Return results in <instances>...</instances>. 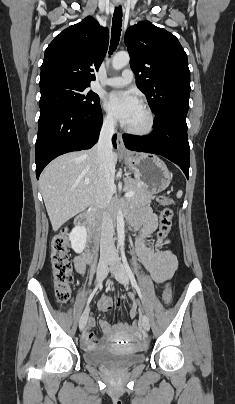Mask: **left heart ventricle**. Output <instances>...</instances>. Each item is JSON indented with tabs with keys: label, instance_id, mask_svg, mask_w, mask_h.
<instances>
[{
	"label": "left heart ventricle",
	"instance_id": "b2bd125f",
	"mask_svg": "<svg viewBox=\"0 0 235 404\" xmlns=\"http://www.w3.org/2000/svg\"><path fill=\"white\" fill-rule=\"evenodd\" d=\"M145 123V113L141 107L137 109L131 120L126 124L130 127H142Z\"/></svg>",
	"mask_w": 235,
	"mask_h": 404
}]
</instances>
